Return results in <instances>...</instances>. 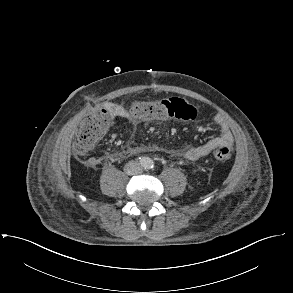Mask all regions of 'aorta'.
<instances>
[{
    "label": "aorta",
    "mask_w": 293,
    "mask_h": 293,
    "mask_svg": "<svg viewBox=\"0 0 293 293\" xmlns=\"http://www.w3.org/2000/svg\"><path fill=\"white\" fill-rule=\"evenodd\" d=\"M146 164L148 166H152L153 165V161L151 159H148L147 162H146Z\"/></svg>",
    "instance_id": "obj_1"
}]
</instances>
